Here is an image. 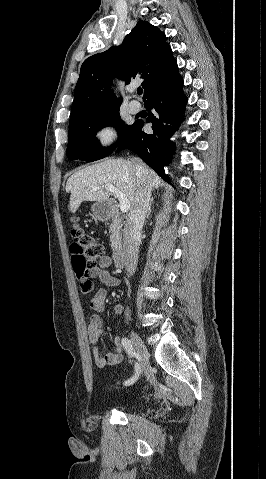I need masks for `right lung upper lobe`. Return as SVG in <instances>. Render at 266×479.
Returning a JSON list of instances; mask_svg holds the SVG:
<instances>
[{"mask_svg":"<svg viewBox=\"0 0 266 479\" xmlns=\"http://www.w3.org/2000/svg\"><path fill=\"white\" fill-rule=\"evenodd\" d=\"M116 62L118 64H116ZM117 75L128 84L142 78L145 100L158 87L179 75L166 36L147 21H138L118 47L87 58L74 91L70 121L119 108L121 101L111 90Z\"/></svg>","mask_w":266,"mask_h":479,"instance_id":"obj_1","label":"right lung upper lobe"}]
</instances>
